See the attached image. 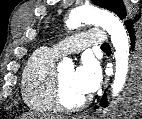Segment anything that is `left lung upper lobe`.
Here are the masks:
<instances>
[{"mask_svg":"<svg viewBox=\"0 0 142 119\" xmlns=\"http://www.w3.org/2000/svg\"><path fill=\"white\" fill-rule=\"evenodd\" d=\"M92 2L97 6L114 12L119 16L120 19H124L126 17V9L122 0H92ZM129 20H126L125 22Z\"/></svg>","mask_w":142,"mask_h":119,"instance_id":"obj_1","label":"left lung upper lobe"}]
</instances>
